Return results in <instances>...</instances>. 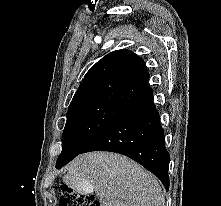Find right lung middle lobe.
<instances>
[{
    "label": "right lung middle lobe",
    "instance_id": "dd1d6c3e",
    "mask_svg": "<svg viewBox=\"0 0 221 206\" xmlns=\"http://www.w3.org/2000/svg\"><path fill=\"white\" fill-rule=\"evenodd\" d=\"M126 108L95 104L69 110L56 167L71 161Z\"/></svg>",
    "mask_w": 221,
    "mask_h": 206
}]
</instances>
